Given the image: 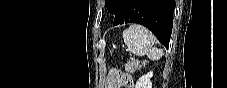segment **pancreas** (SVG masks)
Listing matches in <instances>:
<instances>
[{"label": "pancreas", "mask_w": 227, "mask_h": 88, "mask_svg": "<svg viewBox=\"0 0 227 88\" xmlns=\"http://www.w3.org/2000/svg\"><path fill=\"white\" fill-rule=\"evenodd\" d=\"M145 63H140L138 60H131L128 61L127 64L125 65L126 71L133 73L136 70H139Z\"/></svg>", "instance_id": "pancreas-1"}]
</instances>
